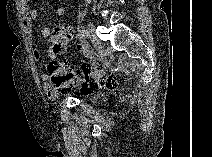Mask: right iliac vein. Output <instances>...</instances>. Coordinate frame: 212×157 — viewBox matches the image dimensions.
Here are the masks:
<instances>
[{
    "instance_id": "1",
    "label": "right iliac vein",
    "mask_w": 212,
    "mask_h": 157,
    "mask_svg": "<svg viewBox=\"0 0 212 157\" xmlns=\"http://www.w3.org/2000/svg\"><path fill=\"white\" fill-rule=\"evenodd\" d=\"M94 30H95V26L93 25V23H89L88 24V28L87 31L89 33V36L91 39H93V41L95 42V46L98 50L101 49V42L100 40L96 37V35L94 34Z\"/></svg>"
}]
</instances>
